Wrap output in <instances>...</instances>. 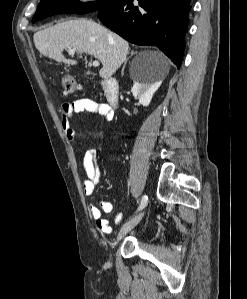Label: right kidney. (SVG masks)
I'll use <instances>...</instances> for the list:
<instances>
[{
    "instance_id": "obj_1",
    "label": "right kidney",
    "mask_w": 247,
    "mask_h": 299,
    "mask_svg": "<svg viewBox=\"0 0 247 299\" xmlns=\"http://www.w3.org/2000/svg\"><path fill=\"white\" fill-rule=\"evenodd\" d=\"M161 85V81L148 83V82H139L134 81V85L131 89V92L135 98L139 99V103L147 107L154 95Z\"/></svg>"
}]
</instances>
